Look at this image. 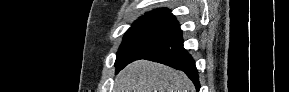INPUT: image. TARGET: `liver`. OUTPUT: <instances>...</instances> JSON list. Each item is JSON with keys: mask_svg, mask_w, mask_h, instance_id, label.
Returning <instances> with one entry per match:
<instances>
[{"mask_svg": "<svg viewBox=\"0 0 289 92\" xmlns=\"http://www.w3.org/2000/svg\"><path fill=\"white\" fill-rule=\"evenodd\" d=\"M115 81V92H195L183 72L147 60L129 64Z\"/></svg>", "mask_w": 289, "mask_h": 92, "instance_id": "6515ba94", "label": "liver"}]
</instances>
